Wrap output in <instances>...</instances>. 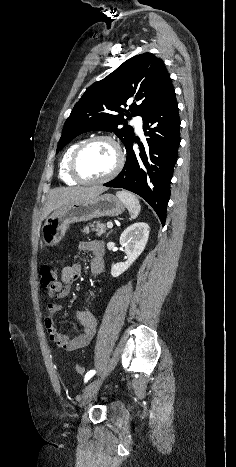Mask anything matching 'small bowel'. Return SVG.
Segmentation results:
<instances>
[{"label":"small bowel","mask_w":236,"mask_h":467,"mask_svg":"<svg viewBox=\"0 0 236 467\" xmlns=\"http://www.w3.org/2000/svg\"><path fill=\"white\" fill-rule=\"evenodd\" d=\"M78 248L80 252L91 256V272L93 274H99L104 267V244L96 240L84 241L79 244ZM81 272L82 266L80 263H73L63 267L60 281H57L55 286L49 290L48 296L58 299L66 298L72 290L73 283L81 276ZM60 309V305L56 303H49L47 305V314L44 319V324L49 339L65 351H74L87 346L96 330V319L93 314L87 309L79 310L77 312V319L82 326V332L75 338H69L59 333L54 323V318Z\"/></svg>","instance_id":"1"}]
</instances>
